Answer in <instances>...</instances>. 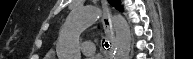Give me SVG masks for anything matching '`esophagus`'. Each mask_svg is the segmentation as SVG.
I'll return each mask as SVG.
<instances>
[{"label": "esophagus", "mask_w": 193, "mask_h": 59, "mask_svg": "<svg viewBox=\"0 0 193 59\" xmlns=\"http://www.w3.org/2000/svg\"><path fill=\"white\" fill-rule=\"evenodd\" d=\"M103 9H104L106 14L102 18V23H103L104 29L106 30V32L108 33V35L110 37V41H111V50H110L107 58L111 59L112 54H113V46H114V28H113V22L111 19V11L109 9L108 2H103Z\"/></svg>", "instance_id": "esophagus-1"}]
</instances>
